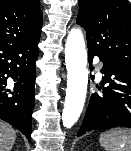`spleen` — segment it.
I'll use <instances>...</instances> for the list:
<instances>
[{
    "label": "spleen",
    "mask_w": 131,
    "mask_h": 151,
    "mask_svg": "<svg viewBox=\"0 0 131 151\" xmlns=\"http://www.w3.org/2000/svg\"><path fill=\"white\" fill-rule=\"evenodd\" d=\"M100 145L105 151H131V131L127 129H112L99 137Z\"/></svg>",
    "instance_id": "obj_1"
}]
</instances>
